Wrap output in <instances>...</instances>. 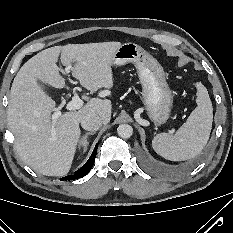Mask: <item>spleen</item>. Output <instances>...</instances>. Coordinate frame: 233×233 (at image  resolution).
Masks as SVG:
<instances>
[{
	"instance_id": "spleen-1",
	"label": "spleen",
	"mask_w": 233,
	"mask_h": 233,
	"mask_svg": "<svg viewBox=\"0 0 233 233\" xmlns=\"http://www.w3.org/2000/svg\"><path fill=\"white\" fill-rule=\"evenodd\" d=\"M197 107L175 134L159 133L152 140L157 154L171 161H184L197 156L207 144L213 121V108L208 91L195 83Z\"/></svg>"
}]
</instances>
